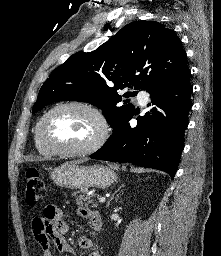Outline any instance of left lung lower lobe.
Masks as SVG:
<instances>
[{
    "mask_svg": "<svg viewBox=\"0 0 221 256\" xmlns=\"http://www.w3.org/2000/svg\"><path fill=\"white\" fill-rule=\"evenodd\" d=\"M190 75L186 65L147 91L152 104L160 110L154 107L138 117L135 128L129 124L133 116L114 128L107 142L90 157L158 169L173 179L184 149V132L192 106Z\"/></svg>",
    "mask_w": 221,
    "mask_h": 256,
    "instance_id": "left-lung-lower-lobe-1",
    "label": "left lung lower lobe"
}]
</instances>
